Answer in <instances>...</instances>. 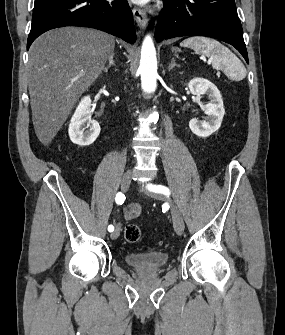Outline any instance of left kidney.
Segmentation results:
<instances>
[{"label": "left kidney", "instance_id": "left-kidney-1", "mask_svg": "<svg viewBox=\"0 0 285 335\" xmlns=\"http://www.w3.org/2000/svg\"><path fill=\"white\" fill-rule=\"evenodd\" d=\"M187 86L194 96L207 94L209 100H211L203 110L208 116L207 122L199 124L195 118L189 122V128L193 134L201 136V138H208L213 132H217L222 124L225 114L222 96L215 84H212L209 80H204V78H194Z\"/></svg>", "mask_w": 285, "mask_h": 335}]
</instances>
